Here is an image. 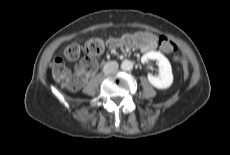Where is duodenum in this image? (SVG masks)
Returning <instances> with one entry per match:
<instances>
[{"label": "duodenum", "instance_id": "1", "mask_svg": "<svg viewBox=\"0 0 230 155\" xmlns=\"http://www.w3.org/2000/svg\"><path fill=\"white\" fill-rule=\"evenodd\" d=\"M107 61H103V63L105 64Z\"/></svg>", "mask_w": 230, "mask_h": 155}]
</instances>
